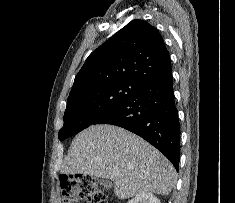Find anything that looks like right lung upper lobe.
<instances>
[{
	"instance_id": "cb5924a9",
	"label": "right lung upper lobe",
	"mask_w": 235,
	"mask_h": 203,
	"mask_svg": "<svg viewBox=\"0 0 235 203\" xmlns=\"http://www.w3.org/2000/svg\"><path fill=\"white\" fill-rule=\"evenodd\" d=\"M170 69L169 52L159 32L149 23L135 19L89 55L71 92L112 80L142 84Z\"/></svg>"
}]
</instances>
